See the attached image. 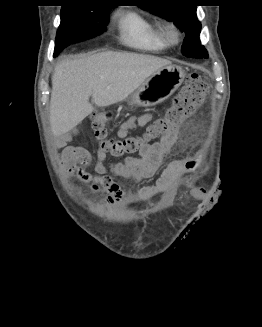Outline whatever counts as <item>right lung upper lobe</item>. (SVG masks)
<instances>
[{"label": "right lung upper lobe", "instance_id": "1", "mask_svg": "<svg viewBox=\"0 0 262 327\" xmlns=\"http://www.w3.org/2000/svg\"><path fill=\"white\" fill-rule=\"evenodd\" d=\"M65 1L67 3H72V4H93L98 6L111 7L103 4L106 2V0H65Z\"/></svg>", "mask_w": 262, "mask_h": 327}]
</instances>
